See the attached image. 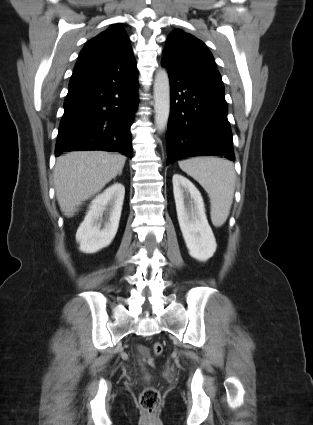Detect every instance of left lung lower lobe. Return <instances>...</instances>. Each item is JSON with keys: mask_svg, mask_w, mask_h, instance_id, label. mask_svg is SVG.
<instances>
[{"mask_svg": "<svg viewBox=\"0 0 313 425\" xmlns=\"http://www.w3.org/2000/svg\"><path fill=\"white\" fill-rule=\"evenodd\" d=\"M161 64L168 69L171 90L167 163L211 155L234 161L223 84L190 78L163 61Z\"/></svg>", "mask_w": 313, "mask_h": 425, "instance_id": "left-lung-lower-lobe-1", "label": "left lung lower lobe"}]
</instances>
